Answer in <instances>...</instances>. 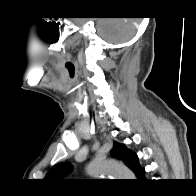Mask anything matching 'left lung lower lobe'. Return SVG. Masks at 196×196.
<instances>
[{
  "instance_id": "1",
  "label": "left lung lower lobe",
  "mask_w": 196,
  "mask_h": 196,
  "mask_svg": "<svg viewBox=\"0 0 196 196\" xmlns=\"http://www.w3.org/2000/svg\"><path fill=\"white\" fill-rule=\"evenodd\" d=\"M132 171L136 175L137 180H143L144 179L145 169L140 166V164L138 162V157H136L135 160H134V166H133Z\"/></svg>"
}]
</instances>
